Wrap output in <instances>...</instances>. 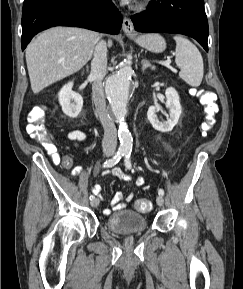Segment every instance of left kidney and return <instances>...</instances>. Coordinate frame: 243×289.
Masks as SVG:
<instances>
[{
  "label": "left kidney",
  "mask_w": 243,
  "mask_h": 289,
  "mask_svg": "<svg viewBox=\"0 0 243 289\" xmlns=\"http://www.w3.org/2000/svg\"><path fill=\"white\" fill-rule=\"evenodd\" d=\"M166 107L169 109V117L167 121L161 122L157 117V112L161 110L160 106H150L147 112L148 120L154 129L161 132H169L178 123L182 108L177 91L173 87H169L165 91Z\"/></svg>",
  "instance_id": "left-kidney-1"
}]
</instances>
